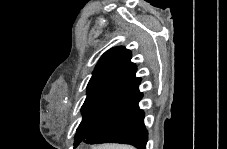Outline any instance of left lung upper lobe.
Instances as JSON below:
<instances>
[{
  "instance_id": "5c2ea615",
  "label": "left lung upper lobe",
  "mask_w": 227,
  "mask_h": 149,
  "mask_svg": "<svg viewBox=\"0 0 227 149\" xmlns=\"http://www.w3.org/2000/svg\"><path fill=\"white\" fill-rule=\"evenodd\" d=\"M131 57L130 50L122 46L111 48L101 56L87 86L75 147L84 141L132 83L137 68Z\"/></svg>"
}]
</instances>
